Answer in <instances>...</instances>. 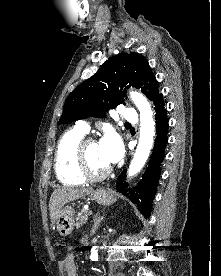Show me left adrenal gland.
Segmentation results:
<instances>
[{"instance_id":"left-adrenal-gland-1","label":"left adrenal gland","mask_w":221,"mask_h":276,"mask_svg":"<svg viewBox=\"0 0 221 276\" xmlns=\"http://www.w3.org/2000/svg\"><path fill=\"white\" fill-rule=\"evenodd\" d=\"M104 217L100 216L99 213H97L94 217V226L92 228V234H94L99 226V224L101 223V221H103Z\"/></svg>"}]
</instances>
